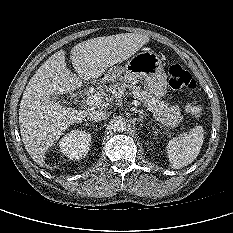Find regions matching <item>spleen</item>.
<instances>
[{"label":"spleen","mask_w":233,"mask_h":233,"mask_svg":"<svg viewBox=\"0 0 233 233\" xmlns=\"http://www.w3.org/2000/svg\"><path fill=\"white\" fill-rule=\"evenodd\" d=\"M204 141L202 126L192 128L188 134L168 141L167 157L173 169H181L191 164L198 156Z\"/></svg>","instance_id":"obj_1"}]
</instances>
